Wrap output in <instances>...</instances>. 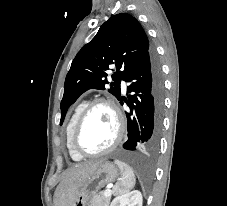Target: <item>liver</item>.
Segmentation results:
<instances>
[{"label":"liver","mask_w":227,"mask_h":206,"mask_svg":"<svg viewBox=\"0 0 227 206\" xmlns=\"http://www.w3.org/2000/svg\"><path fill=\"white\" fill-rule=\"evenodd\" d=\"M101 162L89 161L68 169L55 191V206H72L78 190L88 177L94 173Z\"/></svg>","instance_id":"liver-1"}]
</instances>
